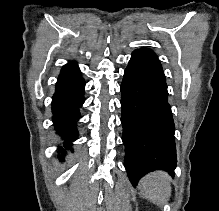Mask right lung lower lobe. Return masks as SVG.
<instances>
[{
	"mask_svg": "<svg viewBox=\"0 0 219 211\" xmlns=\"http://www.w3.org/2000/svg\"><path fill=\"white\" fill-rule=\"evenodd\" d=\"M85 82L75 62L62 67L52 97L53 122L56 131L64 139V148L70 149L77 136V120L81 117L79 108L84 103ZM61 147V157L64 155Z\"/></svg>",
	"mask_w": 219,
	"mask_h": 211,
	"instance_id": "obj_1",
	"label": "right lung lower lobe"
}]
</instances>
